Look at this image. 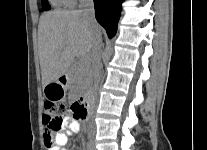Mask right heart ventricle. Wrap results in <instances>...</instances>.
<instances>
[{"instance_id":"right-heart-ventricle-1","label":"right heart ventricle","mask_w":207,"mask_h":150,"mask_svg":"<svg viewBox=\"0 0 207 150\" xmlns=\"http://www.w3.org/2000/svg\"><path fill=\"white\" fill-rule=\"evenodd\" d=\"M51 2L56 7H67L73 4L71 0H51Z\"/></svg>"}]
</instances>
